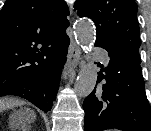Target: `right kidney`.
Here are the masks:
<instances>
[{
	"mask_svg": "<svg viewBox=\"0 0 151 131\" xmlns=\"http://www.w3.org/2000/svg\"><path fill=\"white\" fill-rule=\"evenodd\" d=\"M11 125L13 126V128H19L20 126H23V128L25 127L24 121L21 119L17 121L15 117L13 118Z\"/></svg>",
	"mask_w": 151,
	"mask_h": 131,
	"instance_id": "right-kidney-1",
	"label": "right kidney"
}]
</instances>
